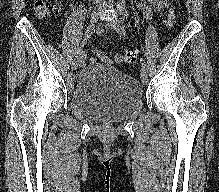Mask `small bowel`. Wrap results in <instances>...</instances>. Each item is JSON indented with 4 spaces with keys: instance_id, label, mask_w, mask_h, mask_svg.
<instances>
[{
    "instance_id": "1",
    "label": "small bowel",
    "mask_w": 219,
    "mask_h": 192,
    "mask_svg": "<svg viewBox=\"0 0 219 192\" xmlns=\"http://www.w3.org/2000/svg\"><path fill=\"white\" fill-rule=\"evenodd\" d=\"M168 7V2L166 0H149V4L145 2H140L138 4V9L144 13V16L149 19L153 16L154 13L161 14ZM103 55L98 50L94 51V56L91 58L92 62L100 60V57ZM120 57L117 56L118 60Z\"/></svg>"
}]
</instances>
